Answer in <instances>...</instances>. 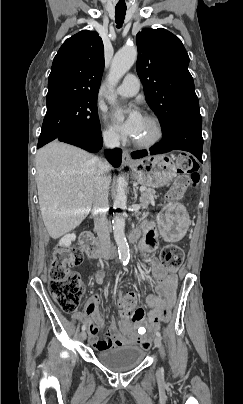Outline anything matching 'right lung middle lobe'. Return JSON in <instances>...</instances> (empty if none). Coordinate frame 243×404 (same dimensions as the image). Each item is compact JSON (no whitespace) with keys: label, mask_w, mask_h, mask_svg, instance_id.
I'll return each mask as SVG.
<instances>
[{"label":"right lung middle lobe","mask_w":243,"mask_h":404,"mask_svg":"<svg viewBox=\"0 0 243 404\" xmlns=\"http://www.w3.org/2000/svg\"><path fill=\"white\" fill-rule=\"evenodd\" d=\"M97 98L67 99L47 104L37 148L53 141L67 129L100 133Z\"/></svg>","instance_id":"dd1d6c3e"}]
</instances>
